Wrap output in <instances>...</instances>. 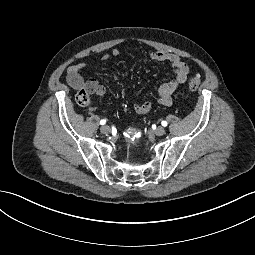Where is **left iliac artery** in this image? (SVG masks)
Returning a JSON list of instances; mask_svg holds the SVG:
<instances>
[{
	"instance_id": "obj_1",
	"label": "left iliac artery",
	"mask_w": 255,
	"mask_h": 255,
	"mask_svg": "<svg viewBox=\"0 0 255 255\" xmlns=\"http://www.w3.org/2000/svg\"><path fill=\"white\" fill-rule=\"evenodd\" d=\"M161 124H162V126H164V127L167 126V122H166V121H162Z\"/></svg>"
}]
</instances>
